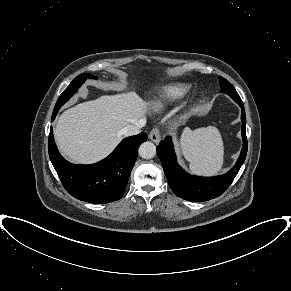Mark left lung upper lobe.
<instances>
[{"mask_svg":"<svg viewBox=\"0 0 291 291\" xmlns=\"http://www.w3.org/2000/svg\"><path fill=\"white\" fill-rule=\"evenodd\" d=\"M219 82H220L221 92L228 94L234 100L236 98H240L235 88L226 79L220 76Z\"/></svg>","mask_w":291,"mask_h":291,"instance_id":"left-lung-upper-lobe-1","label":"left lung upper lobe"}]
</instances>
